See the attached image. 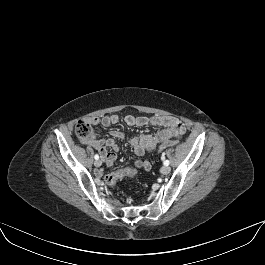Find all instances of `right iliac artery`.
Returning a JSON list of instances; mask_svg holds the SVG:
<instances>
[{
    "label": "right iliac artery",
    "mask_w": 265,
    "mask_h": 265,
    "mask_svg": "<svg viewBox=\"0 0 265 265\" xmlns=\"http://www.w3.org/2000/svg\"><path fill=\"white\" fill-rule=\"evenodd\" d=\"M94 158H95L96 160H98V159H99L98 154H96V155L94 156Z\"/></svg>",
    "instance_id": "82829eb1"
}]
</instances>
